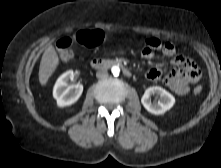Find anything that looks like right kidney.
<instances>
[{"label":"right kidney","instance_id":"1","mask_svg":"<svg viewBox=\"0 0 221 168\" xmlns=\"http://www.w3.org/2000/svg\"><path fill=\"white\" fill-rule=\"evenodd\" d=\"M74 78L73 70L63 73L56 81L53 88V97L59 107L70 106L75 103L83 92V85H69V81Z\"/></svg>","mask_w":221,"mask_h":168}]
</instances>
